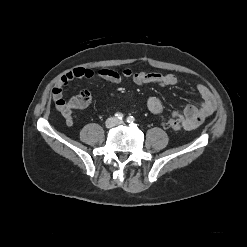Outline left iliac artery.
Segmentation results:
<instances>
[{"instance_id": "obj_1", "label": "left iliac artery", "mask_w": 247, "mask_h": 247, "mask_svg": "<svg viewBox=\"0 0 247 247\" xmlns=\"http://www.w3.org/2000/svg\"><path fill=\"white\" fill-rule=\"evenodd\" d=\"M135 121V118L133 116L127 117V122L128 123H133Z\"/></svg>"}]
</instances>
